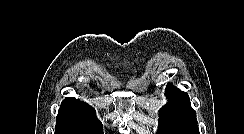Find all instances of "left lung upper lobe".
I'll return each mask as SVG.
<instances>
[{"mask_svg": "<svg viewBox=\"0 0 244 134\" xmlns=\"http://www.w3.org/2000/svg\"><path fill=\"white\" fill-rule=\"evenodd\" d=\"M168 103L159 110L158 134H199L196 112L187 93L168 83Z\"/></svg>", "mask_w": 244, "mask_h": 134, "instance_id": "5c2ea615", "label": "left lung upper lobe"}]
</instances>
